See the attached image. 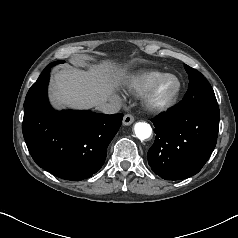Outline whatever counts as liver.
<instances>
[{
    "instance_id": "obj_1",
    "label": "liver",
    "mask_w": 238,
    "mask_h": 238,
    "mask_svg": "<svg viewBox=\"0 0 238 238\" xmlns=\"http://www.w3.org/2000/svg\"><path fill=\"white\" fill-rule=\"evenodd\" d=\"M126 78L124 70L110 62L89 65L87 71L71 66L58 71L51 83V101L57 107L88 109L109 100Z\"/></svg>"
}]
</instances>
